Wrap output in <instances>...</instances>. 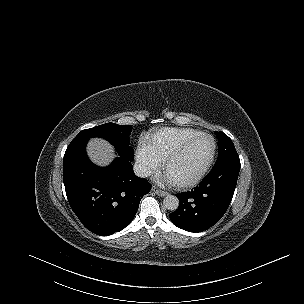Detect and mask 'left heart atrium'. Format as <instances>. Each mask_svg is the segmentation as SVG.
<instances>
[{"label":"left heart atrium","instance_id":"1","mask_svg":"<svg viewBox=\"0 0 304 304\" xmlns=\"http://www.w3.org/2000/svg\"><path fill=\"white\" fill-rule=\"evenodd\" d=\"M166 181L169 182V183H171V184H173V182H174V181H173L171 178H169V177L166 178Z\"/></svg>","mask_w":304,"mask_h":304}]
</instances>
